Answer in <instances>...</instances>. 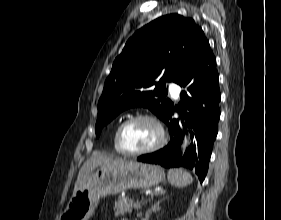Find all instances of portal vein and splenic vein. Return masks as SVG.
Here are the masks:
<instances>
[{"label":"portal vein and splenic vein","instance_id":"1","mask_svg":"<svg viewBox=\"0 0 281 220\" xmlns=\"http://www.w3.org/2000/svg\"><path fill=\"white\" fill-rule=\"evenodd\" d=\"M160 192H162V190L160 191ZM153 196V194H151V197Z\"/></svg>","mask_w":281,"mask_h":220}]
</instances>
